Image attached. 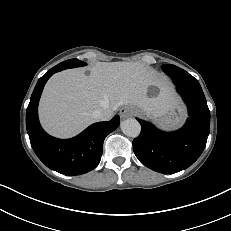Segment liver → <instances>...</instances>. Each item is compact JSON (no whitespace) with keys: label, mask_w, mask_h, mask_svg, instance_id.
I'll list each match as a JSON object with an SVG mask.
<instances>
[{"label":"liver","mask_w":231,"mask_h":231,"mask_svg":"<svg viewBox=\"0 0 231 231\" xmlns=\"http://www.w3.org/2000/svg\"><path fill=\"white\" fill-rule=\"evenodd\" d=\"M150 86L159 89L148 97ZM178 103L168 78L138 62H98L90 68L69 69L54 74L47 82L39 105V117L51 135L68 138L97 121L101 108L113 111L133 105L158 118Z\"/></svg>","instance_id":"6515ba94"}]
</instances>
